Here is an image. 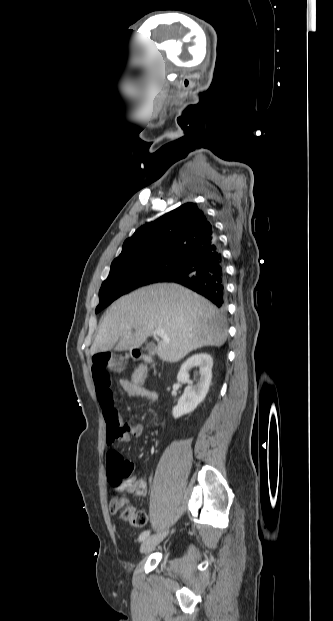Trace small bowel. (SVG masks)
<instances>
[{"mask_svg":"<svg viewBox=\"0 0 333 621\" xmlns=\"http://www.w3.org/2000/svg\"><path fill=\"white\" fill-rule=\"evenodd\" d=\"M116 361L109 351H100L93 355L91 372L96 389L98 402L102 408L104 420L106 423V441H107V467L111 471L113 469H121L128 467L131 473L134 469L133 464L125 459L123 455L116 449L119 443L127 442L130 435L140 437L143 434V426L123 422L116 408L114 395L111 389L110 369L114 367ZM118 387L121 391L132 397H144L150 401H156L158 394L150 389L140 386L135 391H129L127 380H120ZM132 487L130 492L137 496H144L147 492L146 482L137 477H131Z\"/></svg>","mask_w":333,"mask_h":621,"instance_id":"1","label":"small bowel"}]
</instances>
